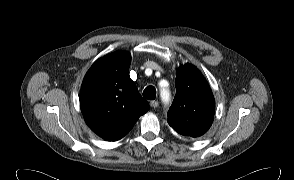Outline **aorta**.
<instances>
[{
    "mask_svg": "<svg viewBox=\"0 0 294 180\" xmlns=\"http://www.w3.org/2000/svg\"><path fill=\"white\" fill-rule=\"evenodd\" d=\"M160 95L163 102H167L170 99V93L167 89L161 88Z\"/></svg>",
    "mask_w": 294,
    "mask_h": 180,
    "instance_id": "aorta-1",
    "label": "aorta"
}]
</instances>
